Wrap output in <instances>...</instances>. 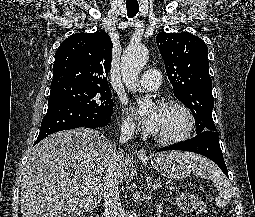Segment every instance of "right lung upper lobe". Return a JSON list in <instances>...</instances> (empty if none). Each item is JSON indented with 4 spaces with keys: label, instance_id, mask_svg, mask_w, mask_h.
<instances>
[{
    "label": "right lung upper lobe",
    "instance_id": "1",
    "mask_svg": "<svg viewBox=\"0 0 255 217\" xmlns=\"http://www.w3.org/2000/svg\"><path fill=\"white\" fill-rule=\"evenodd\" d=\"M112 41L106 32L76 33L65 39L55 53L52 86L82 84L109 87Z\"/></svg>",
    "mask_w": 255,
    "mask_h": 217
}]
</instances>
